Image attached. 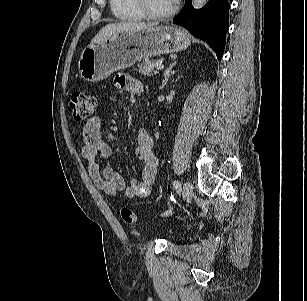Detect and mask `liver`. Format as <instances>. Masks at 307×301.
Returning <instances> with one entry per match:
<instances>
[{"label": "liver", "mask_w": 307, "mask_h": 301, "mask_svg": "<svg viewBox=\"0 0 307 301\" xmlns=\"http://www.w3.org/2000/svg\"><path fill=\"white\" fill-rule=\"evenodd\" d=\"M156 23L144 22H120L111 23L104 26L99 33L92 39L91 44L104 41L112 35L123 31H138L148 27H155Z\"/></svg>", "instance_id": "1"}]
</instances>
